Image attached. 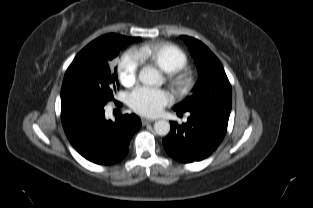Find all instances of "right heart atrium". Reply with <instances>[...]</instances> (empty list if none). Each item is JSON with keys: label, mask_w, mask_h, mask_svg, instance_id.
Wrapping results in <instances>:
<instances>
[{"label": "right heart atrium", "mask_w": 313, "mask_h": 208, "mask_svg": "<svg viewBox=\"0 0 313 208\" xmlns=\"http://www.w3.org/2000/svg\"><path fill=\"white\" fill-rule=\"evenodd\" d=\"M141 60L138 55L129 51L125 53L117 64V73L120 82L127 87H131L137 81Z\"/></svg>", "instance_id": "1"}]
</instances>
